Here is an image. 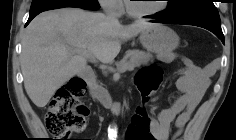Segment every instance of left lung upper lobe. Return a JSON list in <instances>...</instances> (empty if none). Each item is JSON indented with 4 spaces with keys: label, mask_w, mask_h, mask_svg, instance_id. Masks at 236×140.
<instances>
[{
    "label": "left lung upper lobe",
    "mask_w": 236,
    "mask_h": 140,
    "mask_svg": "<svg viewBox=\"0 0 236 140\" xmlns=\"http://www.w3.org/2000/svg\"><path fill=\"white\" fill-rule=\"evenodd\" d=\"M161 15L172 20H193L221 25L213 0H169Z\"/></svg>",
    "instance_id": "left-lung-upper-lobe-1"
}]
</instances>
